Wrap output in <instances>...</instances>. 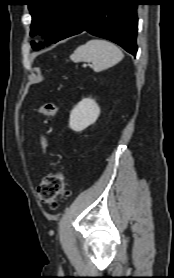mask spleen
I'll list each match as a JSON object with an SVG mask.
<instances>
[{
    "label": "spleen",
    "mask_w": 174,
    "mask_h": 278,
    "mask_svg": "<svg viewBox=\"0 0 174 278\" xmlns=\"http://www.w3.org/2000/svg\"><path fill=\"white\" fill-rule=\"evenodd\" d=\"M122 51L113 43L92 39L79 46L70 59L74 62H91L95 72L103 71L117 64L123 59Z\"/></svg>",
    "instance_id": "spleen-1"
}]
</instances>
